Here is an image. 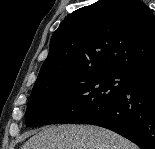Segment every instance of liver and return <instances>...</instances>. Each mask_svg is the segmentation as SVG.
Masks as SVG:
<instances>
[{
  "label": "liver",
  "mask_w": 155,
  "mask_h": 149,
  "mask_svg": "<svg viewBox=\"0 0 155 149\" xmlns=\"http://www.w3.org/2000/svg\"><path fill=\"white\" fill-rule=\"evenodd\" d=\"M21 149H138L131 141L101 127L59 125L42 129Z\"/></svg>",
  "instance_id": "1"
}]
</instances>
